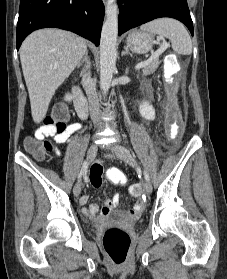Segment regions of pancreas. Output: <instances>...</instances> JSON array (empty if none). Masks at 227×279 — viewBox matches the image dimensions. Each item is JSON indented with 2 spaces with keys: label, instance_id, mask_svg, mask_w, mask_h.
<instances>
[{
  "label": "pancreas",
  "instance_id": "cf45deb5",
  "mask_svg": "<svg viewBox=\"0 0 227 279\" xmlns=\"http://www.w3.org/2000/svg\"><path fill=\"white\" fill-rule=\"evenodd\" d=\"M159 64H160V61L158 59H154L148 65L142 67L143 75L148 76L150 74H153L156 71V69L158 68Z\"/></svg>",
  "mask_w": 227,
  "mask_h": 279
}]
</instances>
